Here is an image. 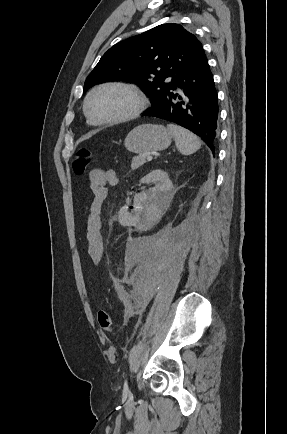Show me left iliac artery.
Masks as SVG:
<instances>
[{"instance_id":"44dca946","label":"left iliac artery","mask_w":287,"mask_h":434,"mask_svg":"<svg viewBox=\"0 0 287 434\" xmlns=\"http://www.w3.org/2000/svg\"><path fill=\"white\" fill-rule=\"evenodd\" d=\"M123 393H124L125 395H127V394L130 393V391H129V387H128V383H127V380H125V382H124Z\"/></svg>"}]
</instances>
